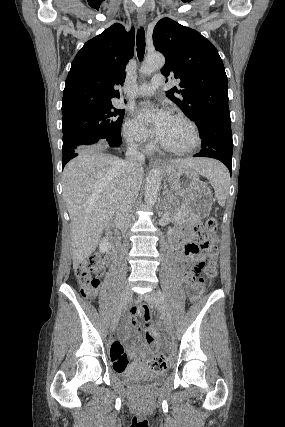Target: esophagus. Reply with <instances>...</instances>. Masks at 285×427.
Here are the masks:
<instances>
[{
    "instance_id": "34e87169",
    "label": "esophagus",
    "mask_w": 285,
    "mask_h": 427,
    "mask_svg": "<svg viewBox=\"0 0 285 427\" xmlns=\"http://www.w3.org/2000/svg\"><path fill=\"white\" fill-rule=\"evenodd\" d=\"M137 19H138V22H139L140 25H145V23H146V13H145V10L143 8H140L138 10ZM160 163H162V161H160V160H158L156 158H150L149 159L150 166H154V165H157V164H160Z\"/></svg>"
}]
</instances>
